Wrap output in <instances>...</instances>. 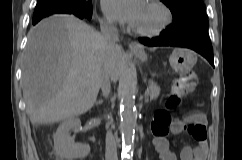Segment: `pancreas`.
<instances>
[{
    "mask_svg": "<svg viewBox=\"0 0 242 160\" xmlns=\"http://www.w3.org/2000/svg\"><path fill=\"white\" fill-rule=\"evenodd\" d=\"M147 92H148V95L150 96V99L153 100L159 96L160 88L156 83L151 81L147 88Z\"/></svg>",
    "mask_w": 242,
    "mask_h": 160,
    "instance_id": "obj_1",
    "label": "pancreas"
}]
</instances>
